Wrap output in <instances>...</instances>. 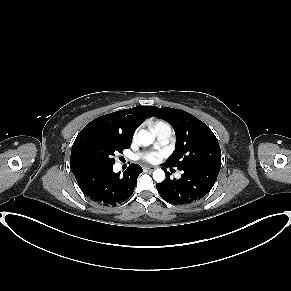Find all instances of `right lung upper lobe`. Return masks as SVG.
Listing matches in <instances>:
<instances>
[{
    "mask_svg": "<svg viewBox=\"0 0 291 291\" xmlns=\"http://www.w3.org/2000/svg\"><path fill=\"white\" fill-rule=\"evenodd\" d=\"M155 106H137L100 116L88 123L78 134L76 142L82 135L91 131H104L131 138L137 127L152 115ZM74 144V143H73ZM77 174L79 172H73Z\"/></svg>",
    "mask_w": 291,
    "mask_h": 291,
    "instance_id": "obj_1",
    "label": "right lung upper lobe"
}]
</instances>
